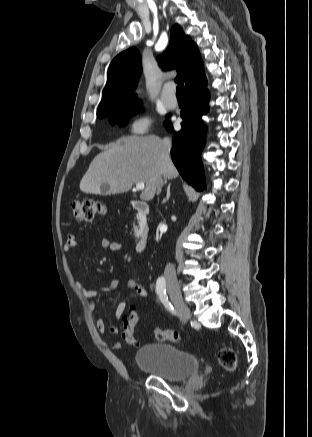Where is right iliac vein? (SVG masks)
I'll return each mask as SVG.
<instances>
[{"mask_svg": "<svg viewBox=\"0 0 312 437\" xmlns=\"http://www.w3.org/2000/svg\"><path fill=\"white\" fill-rule=\"evenodd\" d=\"M168 292L176 310L182 314L183 322L190 317V309L184 302L176 281L168 277Z\"/></svg>", "mask_w": 312, "mask_h": 437, "instance_id": "obj_1", "label": "right iliac vein"}]
</instances>
